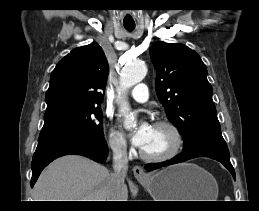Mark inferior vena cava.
Returning <instances> with one entry per match:
<instances>
[{
    "label": "inferior vena cava",
    "mask_w": 259,
    "mask_h": 211,
    "mask_svg": "<svg viewBox=\"0 0 259 211\" xmlns=\"http://www.w3.org/2000/svg\"><path fill=\"white\" fill-rule=\"evenodd\" d=\"M113 151V169L110 180L109 197L107 201H120L119 190L124 185V179L128 171V157L126 146L121 142H115L111 146Z\"/></svg>",
    "instance_id": "602c4592"
}]
</instances>
